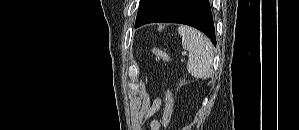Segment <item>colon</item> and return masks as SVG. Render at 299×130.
I'll use <instances>...</instances> for the list:
<instances>
[{"mask_svg": "<svg viewBox=\"0 0 299 130\" xmlns=\"http://www.w3.org/2000/svg\"><path fill=\"white\" fill-rule=\"evenodd\" d=\"M151 52L158 60L163 61L165 63L169 61L168 55L161 49L153 47L151 48ZM172 113H173L172 97L170 92H167L165 97V108L163 112V125L165 128H167L171 123Z\"/></svg>", "mask_w": 299, "mask_h": 130, "instance_id": "5ec220e1", "label": "colon"}]
</instances>
